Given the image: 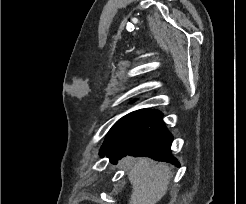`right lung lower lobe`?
<instances>
[{
    "label": "right lung lower lobe",
    "mask_w": 246,
    "mask_h": 204,
    "mask_svg": "<svg viewBox=\"0 0 246 204\" xmlns=\"http://www.w3.org/2000/svg\"><path fill=\"white\" fill-rule=\"evenodd\" d=\"M172 139L162 121L161 112L141 109L125 116L117 138L106 156L112 163L126 155H132L147 156L179 166V162L171 154Z\"/></svg>",
    "instance_id": "right-lung-lower-lobe-1"
}]
</instances>
